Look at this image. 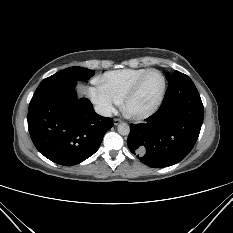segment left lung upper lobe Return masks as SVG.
Here are the masks:
<instances>
[{
  "instance_id": "5c2ea615",
  "label": "left lung upper lobe",
  "mask_w": 233,
  "mask_h": 233,
  "mask_svg": "<svg viewBox=\"0 0 233 233\" xmlns=\"http://www.w3.org/2000/svg\"><path fill=\"white\" fill-rule=\"evenodd\" d=\"M170 77H171V76H170V74H169V73H167V74H166V78H167V80H169V79H170Z\"/></svg>"
}]
</instances>
